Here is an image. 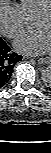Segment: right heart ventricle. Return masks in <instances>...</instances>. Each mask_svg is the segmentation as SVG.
Wrapping results in <instances>:
<instances>
[{
    "instance_id": "1",
    "label": "right heart ventricle",
    "mask_w": 51,
    "mask_h": 153,
    "mask_svg": "<svg viewBox=\"0 0 51 153\" xmlns=\"http://www.w3.org/2000/svg\"><path fill=\"white\" fill-rule=\"evenodd\" d=\"M51 5V0H19V7L30 20Z\"/></svg>"
}]
</instances>
